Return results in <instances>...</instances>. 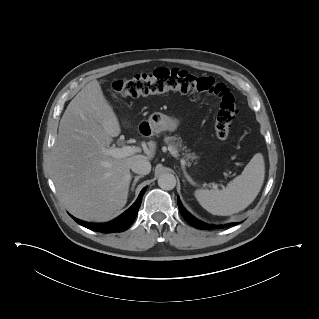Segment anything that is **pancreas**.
<instances>
[{"mask_svg": "<svg viewBox=\"0 0 319 319\" xmlns=\"http://www.w3.org/2000/svg\"><path fill=\"white\" fill-rule=\"evenodd\" d=\"M164 141L167 145L171 146L174 150H176L177 152L179 151H184L182 153L184 160L186 161L185 163L187 165H190L191 162L195 159H197L198 157L195 155V153H191L190 150L187 149L186 146L182 145V139L180 137H176V136H165Z\"/></svg>", "mask_w": 319, "mask_h": 319, "instance_id": "obj_1", "label": "pancreas"}]
</instances>
